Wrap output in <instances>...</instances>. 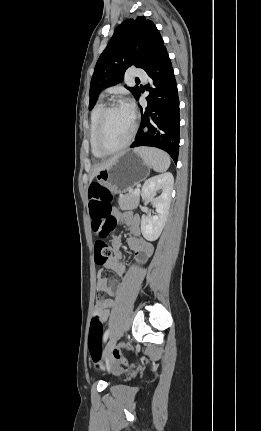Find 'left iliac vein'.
I'll return each mask as SVG.
<instances>
[{
    "label": "left iliac vein",
    "mask_w": 261,
    "mask_h": 431,
    "mask_svg": "<svg viewBox=\"0 0 261 431\" xmlns=\"http://www.w3.org/2000/svg\"><path fill=\"white\" fill-rule=\"evenodd\" d=\"M115 345H116V337L113 336L104 348L103 358H106L111 353Z\"/></svg>",
    "instance_id": "obj_1"
}]
</instances>
